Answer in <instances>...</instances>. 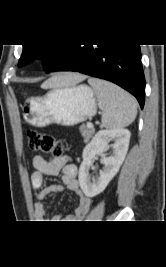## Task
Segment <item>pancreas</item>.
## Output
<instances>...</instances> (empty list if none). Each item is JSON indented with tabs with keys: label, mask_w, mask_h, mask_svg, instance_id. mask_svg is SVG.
<instances>
[{
	"label": "pancreas",
	"mask_w": 166,
	"mask_h": 267,
	"mask_svg": "<svg viewBox=\"0 0 166 267\" xmlns=\"http://www.w3.org/2000/svg\"><path fill=\"white\" fill-rule=\"evenodd\" d=\"M80 132H81V135L84 138V142H88L92 138L95 130L93 128H88V127H85V126H81L80 127Z\"/></svg>",
	"instance_id": "obj_1"
}]
</instances>
